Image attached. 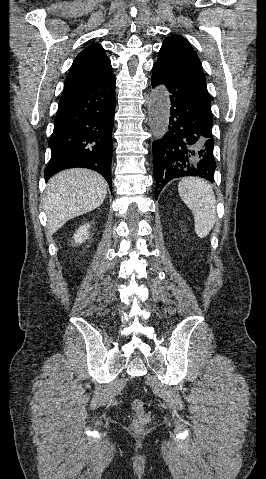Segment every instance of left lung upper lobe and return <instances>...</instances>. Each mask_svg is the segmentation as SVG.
<instances>
[{
  "instance_id": "1",
  "label": "left lung upper lobe",
  "mask_w": 266,
  "mask_h": 479,
  "mask_svg": "<svg viewBox=\"0 0 266 479\" xmlns=\"http://www.w3.org/2000/svg\"><path fill=\"white\" fill-rule=\"evenodd\" d=\"M156 64L207 91L201 62L190 43L182 36L173 34L165 39Z\"/></svg>"
}]
</instances>
